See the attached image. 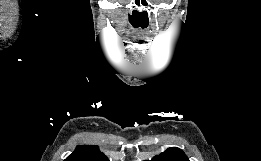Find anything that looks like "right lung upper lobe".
Masks as SVG:
<instances>
[{"label":"right lung upper lobe","instance_id":"right-lung-upper-lobe-1","mask_svg":"<svg viewBox=\"0 0 261 161\" xmlns=\"http://www.w3.org/2000/svg\"><path fill=\"white\" fill-rule=\"evenodd\" d=\"M64 161H109L96 145H79Z\"/></svg>","mask_w":261,"mask_h":161}]
</instances>
